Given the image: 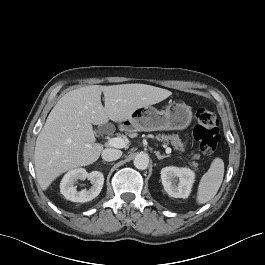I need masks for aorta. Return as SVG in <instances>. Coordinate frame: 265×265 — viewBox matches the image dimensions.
I'll return each mask as SVG.
<instances>
[{
  "label": "aorta",
  "mask_w": 265,
  "mask_h": 265,
  "mask_svg": "<svg viewBox=\"0 0 265 265\" xmlns=\"http://www.w3.org/2000/svg\"><path fill=\"white\" fill-rule=\"evenodd\" d=\"M133 163L137 169L145 170L149 165V156L145 153H139L135 156Z\"/></svg>",
  "instance_id": "obj_1"
}]
</instances>
